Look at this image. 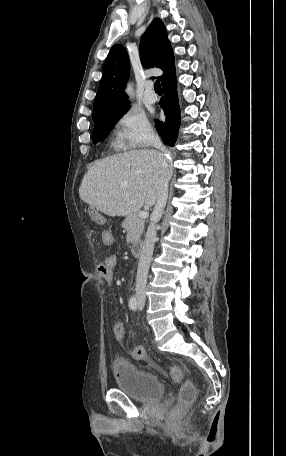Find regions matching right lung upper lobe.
<instances>
[{"label":"right lung upper lobe","instance_id":"1","mask_svg":"<svg viewBox=\"0 0 286 456\" xmlns=\"http://www.w3.org/2000/svg\"><path fill=\"white\" fill-rule=\"evenodd\" d=\"M139 52L144 66H156L163 70V75L159 77L162 85L176 77L173 51L161 19L155 18L143 34ZM129 71L126 49L120 44L114 45L104 64L103 76L93 105V121L108 111L128 107L124 87Z\"/></svg>","mask_w":286,"mask_h":456}]
</instances>
